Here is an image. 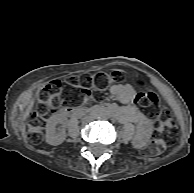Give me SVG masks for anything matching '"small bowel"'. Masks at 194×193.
<instances>
[{"mask_svg":"<svg viewBox=\"0 0 194 193\" xmlns=\"http://www.w3.org/2000/svg\"><path fill=\"white\" fill-rule=\"evenodd\" d=\"M110 91L124 104L118 109L119 119L136 125L135 143L138 146L144 145L151 134L152 125L136 105L137 95L134 88L130 84L114 83L111 85Z\"/></svg>","mask_w":194,"mask_h":193,"instance_id":"1","label":"small bowel"}]
</instances>
